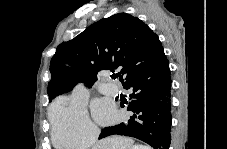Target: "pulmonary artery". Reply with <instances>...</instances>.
I'll return each mask as SVG.
<instances>
[{"label": "pulmonary artery", "mask_w": 227, "mask_h": 149, "mask_svg": "<svg viewBox=\"0 0 227 149\" xmlns=\"http://www.w3.org/2000/svg\"><path fill=\"white\" fill-rule=\"evenodd\" d=\"M105 88H106V90H107L108 92H110V93L115 94V93L117 92L116 87H115L114 85H112V84L106 85Z\"/></svg>", "instance_id": "1"}]
</instances>
